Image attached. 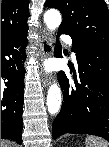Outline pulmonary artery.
Returning <instances> with one entry per match:
<instances>
[{"mask_svg": "<svg viewBox=\"0 0 109 147\" xmlns=\"http://www.w3.org/2000/svg\"><path fill=\"white\" fill-rule=\"evenodd\" d=\"M62 40L64 41V42H66L69 46H71L72 47V38L70 37V36H68V35H63L62 36ZM72 56L74 57L75 56V52L72 50Z\"/></svg>", "mask_w": 109, "mask_h": 147, "instance_id": "pulmonary-artery-1", "label": "pulmonary artery"}]
</instances>
